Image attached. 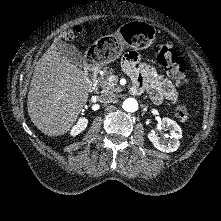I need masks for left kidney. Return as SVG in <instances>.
<instances>
[{
  "label": "left kidney",
  "instance_id": "obj_1",
  "mask_svg": "<svg viewBox=\"0 0 221 221\" xmlns=\"http://www.w3.org/2000/svg\"><path fill=\"white\" fill-rule=\"evenodd\" d=\"M162 122L170 131V140L161 139L154 132L148 133V139L152 142L157 150L167 153L174 152L180 145L179 139L182 138V130L175 121L169 118H163Z\"/></svg>",
  "mask_w": 221,
  "mask_h": 221
}]
</instances>
